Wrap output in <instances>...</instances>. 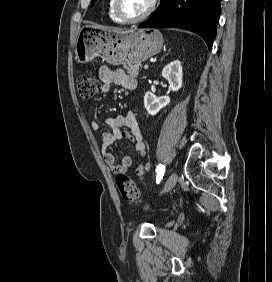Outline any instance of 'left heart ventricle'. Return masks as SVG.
<instances>
[{
  "instance_id": "b2bd125f",
  "label": "left heart ventricle",
  "mask_w": 272,
  "mask_h": 282,
  "mask_svg": "<svg viewBox=\"0 0 272 282\" xmlns=\"http://www.w3.org/2000/svg\"><path fill=\"white\" fill-rule=\"evenodd\" d=\"M152 0H120L121 10L130 17H135L145 13Z\"/></svg>"
}]
</instances>
